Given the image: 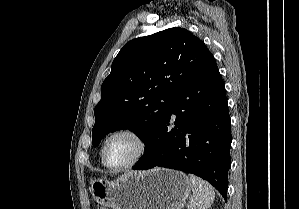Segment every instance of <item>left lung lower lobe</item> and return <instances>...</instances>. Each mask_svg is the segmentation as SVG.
I'll use <instances>...</instances> for the list:
<instances>
[{"mask_svg":"<svg viewBox=\"0 0 299 209\" xmlns=\"http://www.w3.org/2000/svg\"><path fill=\"white\" fill-rule=\"evenodd\" d=\"M176 115L174 128L168 129ZM225 86L215 59L171 98L166 114L136 170L155 166L195 174L210 182L226 200L231 166V129Z\"/></svg>","mask_w":299,"mask_h":209,"instance_id":"obj_1","label":"left lung lower lobe"}]
</instances>
